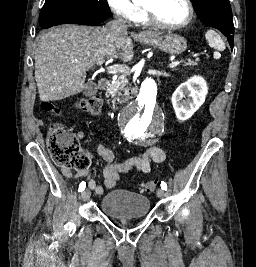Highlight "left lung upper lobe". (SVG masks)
<instances>
[{"label":"left lung upper lobe","mask_w":256,"mask_h":267,"mask_svg":"<svg viewBox=\"0 0 256 267\" xmlns=\"http://www.w3.org/2000/svg\"><path fill=\"white\" fill-rule=\"evenodd\" d=\"M202 22L220 30L233 48L234 26L231 7L228 0H191Z\"/></svg>","instance_id":"5c2ea615"}]
</instances>
